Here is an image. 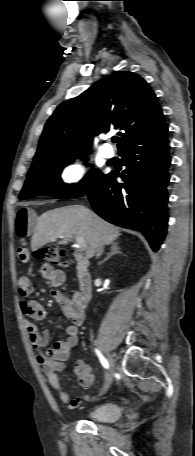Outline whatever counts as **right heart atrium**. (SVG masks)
<instances>
[{
  "label": "right heart atrium",
  "instance_id": "right-heart-atrium-1",
  "mask_svg": "<svg viewBox=\"0 0 195 456\" xmlns=\"http://www.w3.org/2000/svg\"><path fill=\"white\" fill-rule=\"evenodd\" d=\"M89 169L81 161L71 160L65 162L58 171L60 183L68 188H76L82 185L88 177Z\"/></svg>",
  "mask_w": 195,
  "mask_h": 456
}]
</instances>
